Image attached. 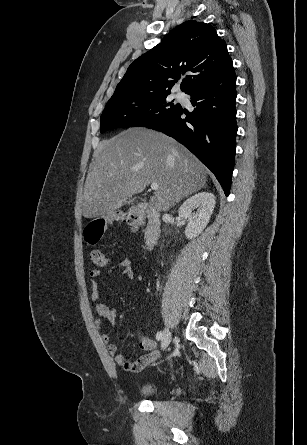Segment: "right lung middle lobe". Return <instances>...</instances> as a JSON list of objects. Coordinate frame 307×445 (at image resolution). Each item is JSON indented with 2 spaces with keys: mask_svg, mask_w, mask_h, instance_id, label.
Masks as SVG:
<instances>
[{
  "mask_svg": "<svg viewBox=\"0 0 307 445\" xmlns=\"http://www.w3.org/2000/svg\"><path fill=\"white\" fill-rule=\"evenodd\" d=\"M168 93L111 98L100 118V132L120 127H146L180 107Z\"/></svg>",
  "mask_w": 307,
  "mask_h": 445,
  "instance_id": "1",
  "label": "right lung middle lobe"
}]
</instances>
